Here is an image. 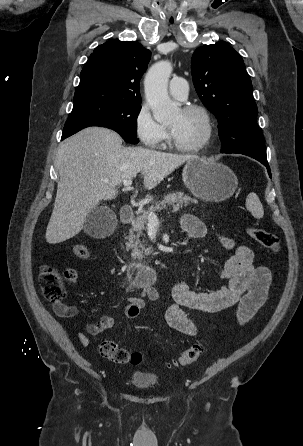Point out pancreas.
<instances>
[{
  "mask_svg": "<svg viewBox=\"0 0 303 446\" xmlns=\"http://www.w3.org/2000/svg\"><path fill=\"white\" fill-rule=\"evenodd\" d=\"M190 202H194V199L185 195L183 192L169 193L164 196L163 200L157 202L155 205H151L148 211L139 212L134 219L132 229L127 237L128 242L126 243V248L132 250V257L141 260L153 252L152 246L146 248L145 242L140 240L143 230H146V224L148 223L147 217L150 212L160 211L168 207H172L173 212H175L180 208L187 207Z\"/></svg>",
  "mask_w": 303,
  "mask_h": 446,
  "instance_id": "obj_1",
  "label": "pancreas"
}]
</instances>
